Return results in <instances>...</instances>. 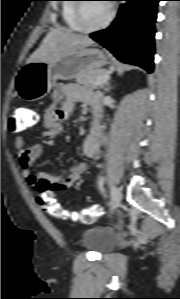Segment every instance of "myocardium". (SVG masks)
<instances>
[{"label": "myocardium", "instance_id": "obj_1", "mask_svg": "<svg viewBox=\"0 0 180 299\" xmlns=\"http://www.w3.org/2000/svg\"><path fill=\"white\" fill-rule=\"evenodd\" d=\"M79 2H77L75 4V9H74V21L77 24L79 31L82 33H94V32H98L101 31L105 28H107L111 22L114 19L115 16V7L113 5V3L108 2V6H109V13L106 17V19L99 25L94 26V27H86L83 25V21H82V16H81V12H82V7H83V0H78Z\"/></svg>", "mask_w": 180, "mask_h": 299}]
</instances>
